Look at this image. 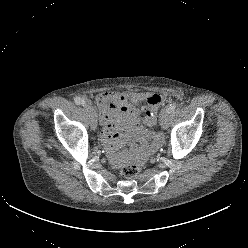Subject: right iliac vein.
<instances>
[{"label":"right iliac vein","instance_id":"1","mask_svg":"<svg viewBox=\"0 0 248 248\" xmlns=\"http://www.w3.org/2000/svg\"><path fill=\"white\" fill-rule=\"evenodd\" d=\"M89 111L91 117V127L93 130L97 128V114L95 109L90 105L89 101H87V105H85Z\"/></svg>","mask_w":248,"mask_h":248}]
</instances>
